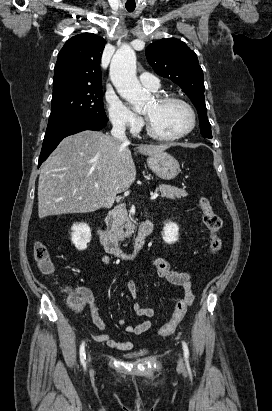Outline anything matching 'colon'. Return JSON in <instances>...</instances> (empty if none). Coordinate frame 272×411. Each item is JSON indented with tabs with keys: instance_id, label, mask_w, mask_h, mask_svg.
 <instances>
[{
	"instance_id": "5ec220e1",
	"label": "colon",
	"mask_w": 272,
	"mask_h": 411,
	"mask_svg": "<svg viewBox=\"0 0 272 411\" xmlns=\"http://www.w3.org/2000/svg\"><path fill=\"white\" fill-rule=\"evenodd\" d=\"M199 208L202 213L203 221L210 232L209 251L212 254L220 251L222 247L221 230L223 222L221 217L214 211L209 200L206 197H201L198 201ZM34 258L40 272L44 275H52L55 271L53 260L49 250L42 242H37L34 247ZM70 301L75 309H80L88 301L87 294L79 290H71ZM191 305V298L184 296L180 299L174 309L171 319L158 329V334L167 336L172 334L183 317L186 314L188 307Z\"/></svg>"
}]
</instances>
